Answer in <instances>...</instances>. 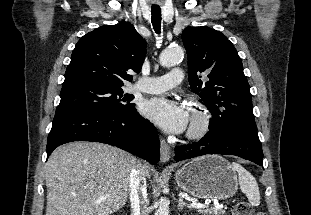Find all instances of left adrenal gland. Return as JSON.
I'll return each instance as SVG.
<instances>
[{
	"mask_svg": "<svg viewBox=\"0 0 311 215\" xmlns=\"http://www.w3.org/2000/svg\"><path fill=\"white\" fill-rule=\"evenodd\" d=\"M184 207H187L189 210H192V206L185 203L183 201V196L181 194H179V201H178L177 209L182 210Z\"/></svg>",
	"mask_w": 311,
	"mask_h": 215,
	"instance_id": "left-adrenal-gland-1",
	"label": "left adrenal gland"
}]
</instances>
